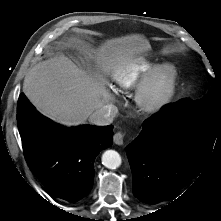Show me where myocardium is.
I'll list each match as a JSON object with an SVG mask.
<instances>
[{"label":"myocardium","instance_id":"myocardium-1","mask_svg":"<svg viewBox=\"0 0 221 221\" xmlns=\"http://www.w3.org/2000/svg\"><path fill=\"white\" fill-rule=\"evenodd\" d=\"M177 82L178 70L174 64L163 63L153 67L137 90V104L146 112L159 111L172 99Z\"/></svg>","mask_w":221,"mask_h":221}]
</instances>
